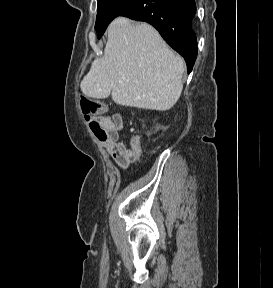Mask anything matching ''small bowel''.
I'll return each instance as SVG.
<instances>
[{
	"label": "small bowel",
	"mask_w": 273,
	"mask_h": 288,
	"mask_svg": "<svg viewBox=\"0 0 273 288\" xmlns=\"http://www.w3.org/2000/svg\"><path fill=\"white\" fill-rule=\"evenodd\" d=\"M99 122L106 132V138L99 139L106 151L121 168L138 162L141 156V146L138 141H133L130 148L119 142V133L123 129L121 115L101 117Z\"/></svg>",
	"instance_id": "small-bowel-1"
}]
</instances>
